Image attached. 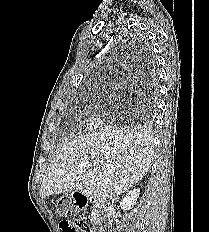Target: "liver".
I'll return each mask as SVG.
<instances>
[{"instance_id": "6515ba94", "label": "liver", "mask_w": 209, "mask_h": 232, "mask_svg": "<svg viewBox=\"0 0 209 232\" xmlns=\"http://www.w3.org/2000/svg\"><path fill=\"white\" fill-rule=\"evenodd\" d=\"M152 136L143 128L109 126L71 141L48 166L41 197L74 190L112 199L128 191L149 171Z\"/></svg>"}]
</instances>
